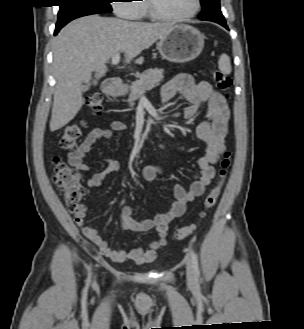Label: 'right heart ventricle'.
Here are the masks:
<instances>
[{
	"mask_svg": "<svg viewBox=\"0 0 304 329\" xmlns=\"http://www.w3.org/2000/svg\"><path fill=\"white\" fill-rule=\"evenodd\" d=\"M137 6L139 8V18L146 17L148 15V10L145 0H142V3Z\"/></svg>",
	"mask_w": 304,
	"mask_h": 329,
	"instance_id": "1",
	"label": "right heart ventricle"
}]
</instances>
